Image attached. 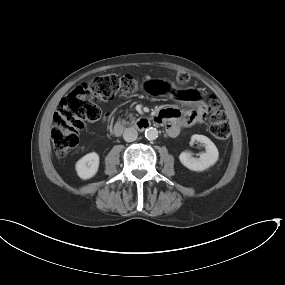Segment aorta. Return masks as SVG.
Wrapping results in <instances>:
<instances>
[{
	"label": "aorta",
	"instance_id": "1",
	"mask_svg": "<svg viewBox=\"0 0 285 285\" xmlns=\"http://www.w3.org/2000/svg\"><path fill=\"white\" fill-rule=\"evenodd\" d=\"M145 137L148 140H155L158 137V131L156 128L150 127L145 130Z\"/></svg>",
	"mask_w": 285,
	"mask_h": 285
}]
</instances>
